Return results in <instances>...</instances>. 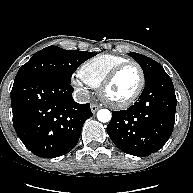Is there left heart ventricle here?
I'll return each mask as SVG.
<instances>
[{
  "instance_id": "obj_1",
  "label": "left heart ventricle",
  "mask_w": 193,
  "mask_h": 193,
  "mask_svg": "<svg viewBox=\"0 0 193 193\" xmlns=\"http://www.w3.org/2000/svg\"><path fill=\"white\" fill-rule=\"evenodd\" d=\"M140 75L136 67L123 69L107 89V96L114 101H122L130 97L137 89Z\"/></svg>"
}]
</instances>
